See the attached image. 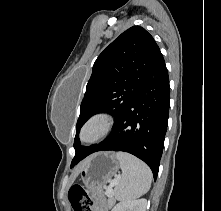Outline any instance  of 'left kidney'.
Instances as JSON below:
<instances>
[{
	"label": "left kidney",
	"mask_w": 221,
	"mask_h": 211,
	"mask_svg": "<svg viewBox=\"0 0 221 211\" xmlns=\"http://www.w3.org/2000/svg\"><path fill=\"white\" fill-rule=\"evenodd\" d=\"M147 200L144 198L121 201L114 206L112 211H146Z\"/></svg>",
	"instance_id": "1"
}]
</instances>
